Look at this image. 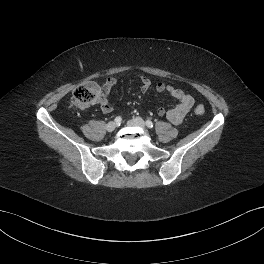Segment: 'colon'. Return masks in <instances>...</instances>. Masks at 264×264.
Returning a JSON list of instances; mask_svg holds the SVG:
<instances>
[{
  "label": "colon",
  "mask_w": 264,
  "mask_h": 264,
  "mask_svg": "<svg viewBox=\"0 0 264 264\" xmlns=\"http://www.w3.org/2000/svg\"><path fill=\"white\" fill-rule=\"evenodd\" d=\"M103 93V87L97 82L89 81L78 86L73 92V103L81 108L90 106L96 103ZM205 109L202 105L195 108L197 115L204 114Z\"/></svg>",
  "instance_id": "1"
}]
</instances>
